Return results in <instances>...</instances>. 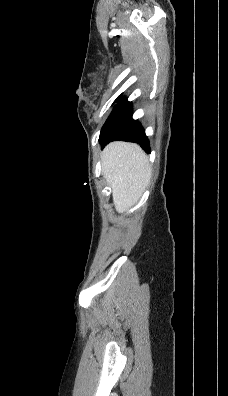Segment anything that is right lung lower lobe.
Returning a JSON list of instances; mask_svg holds the SVG:
<instances>
[{
    "instance_id": "obj_1",
    "label": "right lung lower lobe",
    "mask_w": 228,
    "mask_h": 396,
    "mask_svg": "<svg viewBox=\"0 0 228 396\" xmlns=\"http://www.w3.org/2000/svg\"><path fill=\"white\" fill-rule=\"evenodd\" d=\"M115 140L138 143L143 150L150 152L145 131L137 120L132 119V105L126 99L116 105L101 129L99 141L102 148Z\"/></svg>"
}]
</instances>
